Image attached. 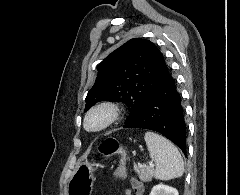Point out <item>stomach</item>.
Wrapping results in <instances>:
<instances>
[{
  "instance_id": "0dacf381",
  "label": "stomach",
  "mask_w": 240,
  "mask_h": 195,
  "mask_svg": "<svg viewBox=\"0 0 240 195\" xmlns=\"http://www.w3.org/2000/svg\"><path fill=\"white\" fill-rule=\"evenodd\" d=\"M94 171L92 161H79L70 179L69 195H91L95 181Z\"/></svg>"
}]
</instances>
